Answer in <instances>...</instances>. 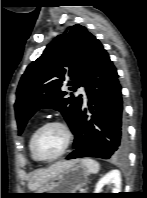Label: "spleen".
Returning <instances> with one entry per match:
<instances>
[{
	"mask_svg": "<svg viewBox=\"0 0 147 198\" xmlns=\"http://www.w3.org/2000/svg\"><path fill=\"white\" fill-rule=\"evenodd\" d=\"M81 163L91 172V173H98L100 169V164L89 158L81 159Z\"/></svg>",
	"mask_w": 147,
	"mask_h": 198,
	"instance_id": "3e777b00",
	"label": "spleen"
}]
</instances>
